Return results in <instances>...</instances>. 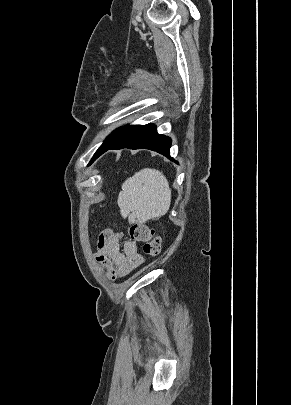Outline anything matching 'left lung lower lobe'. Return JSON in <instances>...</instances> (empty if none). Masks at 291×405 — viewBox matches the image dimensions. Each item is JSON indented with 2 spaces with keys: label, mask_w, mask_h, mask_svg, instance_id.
Returning <instances> with one entry per match:
<instances>
[{
  "label": "left lung lower lobe",
  "mask_w": 291,
  "mask_h": 405,
  "mask_svg": "<svg viewBox=\"0 0 291 405\" xmlns=\"http://www.w3.org/2000/svg\"><path fill=\"white\" fill-rule=\"evenodd\" d=\"M170 147L171 139L158 134L155 125H134L127 127L124 133L114 143L99 150L94 156V160L109 149L122 148L150 149L171 159Z\"/></svg>",
  "instance_id": "obj_1"
}]
</instances>
